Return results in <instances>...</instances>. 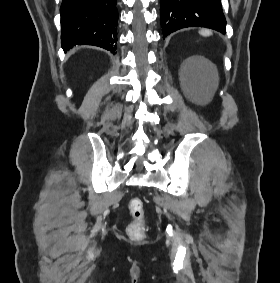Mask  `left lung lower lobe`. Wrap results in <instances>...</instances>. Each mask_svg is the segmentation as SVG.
I'll return each mask as SVG.
<instances>
[{
  "instance_id": "0a47b994",
  "label": "left lung lower lobe",
  "mask_w": 280,
  "mask_h": 283,
  "mask_svg": "<svg viewBox=\"0 0 280 283\" xmlns=\"http://www.w3.org/2000/svg\"><path fill=\"white\" fill-rule=\"evenodd\" d=\"M162 33L186 27H206L226 32L221 0H160Z\"/></svg>"
}]
</instances>
